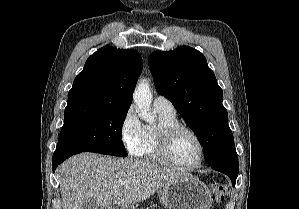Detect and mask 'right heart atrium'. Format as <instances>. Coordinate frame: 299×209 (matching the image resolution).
<instances>
[{
	"label": "right heart atrium",
	"instance_id": "1",
	"mask_svg": "<svg viewBox=\"0 0 299 209\" xmlns=\"http://www.w3.org/2000/svg\"><path fill=\"white\" fill-rule=\"evenodd\" d=\"M144 126L139 120L134 107H130L120 123L122 143L131 155L138 156L143 143Z\"/></svg>",
	"mask_w": 299,
	"mask_h": 209
}]
</instances>
